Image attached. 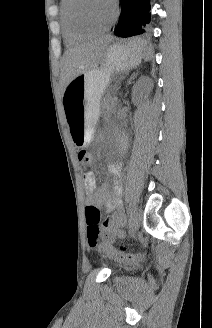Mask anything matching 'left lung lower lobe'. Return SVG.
<instances>
[{"instance_id": "0a47b994", "label": "left lung lower lobe", "mask_w": 212, "mask_h": 328, "mask_svg": "<svg viewBox=\"0 0 212 328\" xmlns=\"http://www.w3.org/2000/svg\"><path fill=\"white\" fill-rule=\"evenodd\" d=\"M122 11L114 34L119 37H130L143 34L144 27L150 22V0H121ZM143 42L134 47L143 46Z\"/></svg>"}]
</instances>
